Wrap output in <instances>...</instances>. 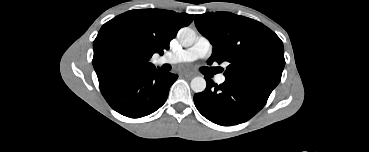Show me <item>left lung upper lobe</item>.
<instances>
[{
  "label": "left lung upper lobe",
  "instance_id": "left-lung-upper-lobe-1",
  "mask_svg": "<svg viewBox=\"0 0 369 152\" xmlns=\"http://www.w3.org/2000/svg\"><path fill=\"white\" fill-rule=\"evenodd\" d=\"M195 25L213 45L208 62L229 63L224 73L231 81H242L273 90L285 65L283 43L262 23L229 12L195 16Z\"/></svg>",
  "mask_w": 369,
  "mask_h": 152
}]
</instances>
